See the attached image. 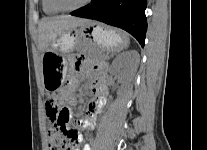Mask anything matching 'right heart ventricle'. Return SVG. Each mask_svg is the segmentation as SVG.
Returning a JSON list of instances; mask_svg holds the SVG:
<instances>
[{"label": "right heart ventricle", "instance_id": "1", "mask_svg": "<svg viewBox=\"0 0 207 150\" xmlns=\"http://www.w3.org/2000/svg\"><path fill=\"white\" fill-rule=\"evenodd\" d=\"M42 8L47 15H56L59 13L50 0H42Z\"/></svg>", "mask_w": 207, "mask_h": 150}]
</instances>
